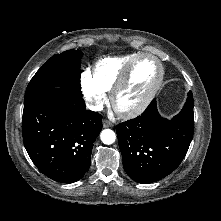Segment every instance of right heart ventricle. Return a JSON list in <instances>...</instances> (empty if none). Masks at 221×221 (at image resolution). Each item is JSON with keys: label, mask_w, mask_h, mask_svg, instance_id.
<instances>
[{"label": "right heart ventricle", "mask_w": 221, "mask_h": 221, "mask_svg": "<svg viewBox=\"0 0 221 221\" xmlns=\"http://www.w3.org/2000/svg\"><path fill=\"white\" fill-rule=\"evenodd\" d=\"M139 54L141 53H129L100 59L93 68L95 81L105 91H111L125 67Z\"/></svg>", "instance_id": "e07e8e85"}]
</instances>
